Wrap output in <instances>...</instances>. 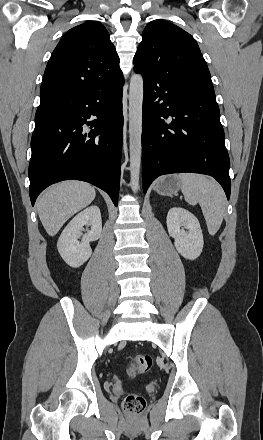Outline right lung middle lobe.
I'll return each instance as SVG.
<instances>
[{
    "instance_id": "dd1d6c3e",
    "label": "right lung middle lobe",
    "mask_w": 263,
    "mask_h": 440,
    "mask_svg": "<svg viewBox=\"0 0 263 440\" xmlns=\"http://www.w3.org/2000/svg\"><path fill=\"white\" fill-rule=\"evenodd\" d=\"M51 106H42V107H38L36 115H35V120L39 119L40 117L44 116L46 113L49 112Z\"/></svg>"
}]
</instances>
